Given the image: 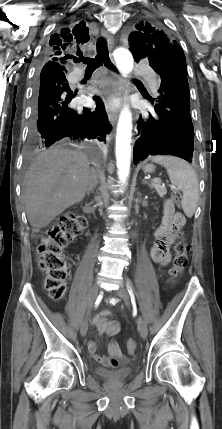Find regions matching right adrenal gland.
<instances>
[{
	"label": "right adrenal gland",
	"instance_id": "1",
	"mask_svg": "<svg viewBox=\"0 0 222 429\" xmlns=\"http://www.w3.org/2000/svg\"><path fill=\"white\" fill-rule=\"evenodd\" d=\"M96 186H97V182H95V181L90 182V184L87 188V195L88 196L90 195V193L94 192V189L96 188Z\"/></svg>",
	"mask_w": 222,
	"mask_h": 429
}]
</instances>
